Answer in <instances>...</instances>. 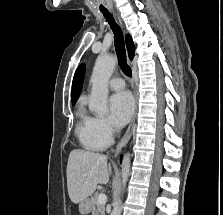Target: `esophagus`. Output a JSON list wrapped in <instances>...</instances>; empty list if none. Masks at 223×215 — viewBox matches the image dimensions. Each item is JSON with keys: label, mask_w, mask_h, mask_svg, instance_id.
I'll use <instances>...</instances> for the list:
<instances>
[{"label": "esophagus", "mask_w": 223, "mask_h": 215, "mask_svg": "<svg viewBox=\"0 0 223 215\" xmlns=\"http://www.w3.org/2000/svg\"><path fill=\"white\" fill-rule=\"evenodd\" d=\"M120 23H121V21H120ZM137 109H138V97H137V95H135L133 116L131 118V121H130L129 126L126 130L125 135L123 136L120 143L116 147L115 157L118 156V154L120 153L124 144H126L131 138L133 127H134V124H135V119H136V116H137Z\"/></svg>", "instance_id": "obj_1"}]
</instances>
